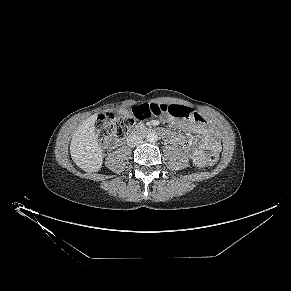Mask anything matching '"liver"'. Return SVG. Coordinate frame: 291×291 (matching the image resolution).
Instances as JSON below:
<instances>
[{
  "label": "liver",
  "mask_w": 291,
  "mask_h": 291,
  "mask_svg": "<svg viewBox=\"0 0 291 291\" xmlns=\"http://www.w3.org/2000/svg\"><path fill=\"white\" fill-rule=\"evenodd\" d=\"M97 114L86 119L76 130L70 144L72 160L86 172H97L102 167L103 156L95 133Z\"/></svg>",
  "instance_id": "1"
}]
</instances>
